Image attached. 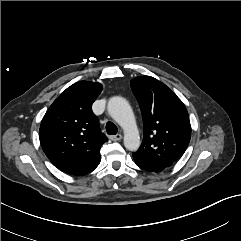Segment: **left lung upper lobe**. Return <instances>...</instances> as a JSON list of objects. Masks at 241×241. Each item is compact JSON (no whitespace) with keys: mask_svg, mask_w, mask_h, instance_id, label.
Listing matches in <instances>:
<instances>
[{"mask_svg":"<svg viewBox=\"0 0 241 241\" xmlns=\"http://www.w3.org/2000/svg\"><path fill=\"white\" fill-rule=\"evenodd\" d=\"M130 85L144 123L143 142L133 153L135 163L146 171H162L187 149L191 137L188 112L177 95L153 77L134 78Z\"/></svg>","mask_w":241,"mask_h":241,"instance_id":"5c2ea615","label":"left lung upper lobe"}]
</instances>
